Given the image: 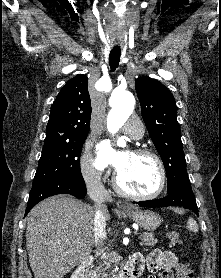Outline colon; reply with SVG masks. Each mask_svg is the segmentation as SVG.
<instances>
[{
	"label": "colon",
	"instance_id": "5ec220e1",
	"mask_svg": "<svg viewBox=\"0 0 221 278\" xmlns=\"http://www.w3.org/2000/svg\"><path fill=\"white\" fill-rule=\"evenodd\" d=\"M167 237L172 245H176V246L183 245V241L179 232L170 231ZM178 278H194L193 270L191 269V267L189 265L181 266L179 270Z\"/></svg>",
	"mask_w": 221,
	"mask_h": 278
}]
</instances>
